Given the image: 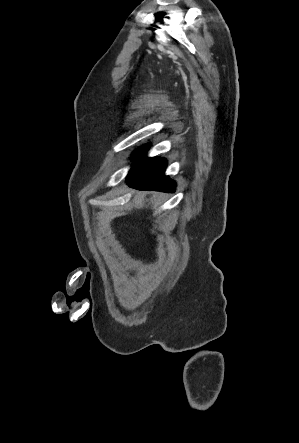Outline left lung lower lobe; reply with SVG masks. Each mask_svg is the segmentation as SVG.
I'll return each instance as SVG.
<instances>
[{
    "label": "left lung lower lobe",
    "instance_id": "obj_1",
    "mask_svg": "<svg viewBox=\"0 0 299 443\" xmlns=\"http://www.w3.org/2000/svg\"><path fill=\"white\" fill-rule=\"evenodd\" d=\"M148 146L139 148L132 159L135 164L128 173L127 184L136 189L174 192L175 183L164 175L166 160L143 156Z\"/></svg>",
    "mask_w": 299,
    "mask_h": 443
}]
</instances>
